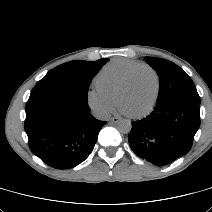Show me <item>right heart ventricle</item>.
Masks as SVG:
<instances>
[{"label":"right heart ventricle","mask_w":212,"mask_h":212,"mask_svg":"<svg viewBox=\"0 0 212 212\" xmlns=\"http://www.w3.org/2000/svg\"><path fill=\"white\" fill-rule=\"evenodd\" d=\"M141 63L129 59H115L107 64L96 78L103 91L115 96L128 74Z\"/></svg>","instance_id":"right-heart-ventricle-1"}]
</instances>
